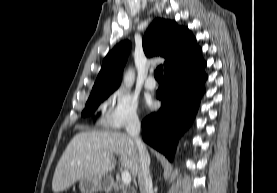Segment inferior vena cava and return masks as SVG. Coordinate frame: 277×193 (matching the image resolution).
<instances>
[{
	"mask_svg": "<svg viewBox=\"0 0 277 193\" xmlns=\"http://www.w3.org/2000/svg\"><path fill=\"white\" fill-rule=\"evenodd\" d=\"M141 123L138 116H131L128 120L126 131L134 141L138 154L140 169L138 172V185L140 193H153L152 179L149 173L150 157L144 143L139 137Z\"/></svg>",
	"mask_w": 277,
	"mask_h": 193,
	"instance_id": "inferior-vena-cava-1",
	"label": "inferior vena cava"
}]
</instances>
